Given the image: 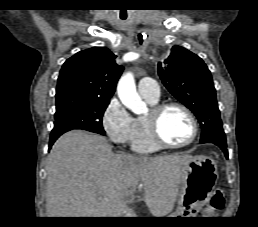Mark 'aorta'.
<instances>
[{
	"mask_svg": "<svg viewBox=\"0 0 258 227\" xmlns=\"http://www.w3.org/2000/svg\"><path fill=\"white\" fill-rule=\"evenodd\" d=\"M117 93L122 104L135 114L146 111V104L136 91L135 79L132 73L124 74L117 85Z\"/></svg>",
	"mask_w": 258,
	"mask_h": 227,
	"instance_id": "762f6f07",
	"label": "aorta"
}]
</instances>
